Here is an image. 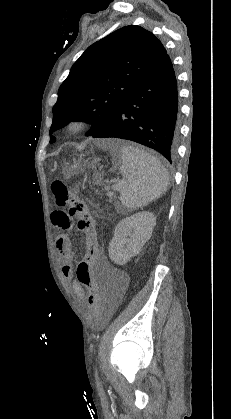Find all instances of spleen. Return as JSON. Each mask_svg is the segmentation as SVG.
Segmentation results:
<instances>
[{
	"label": "spleen",
	"instance_id": "1",
	"mask_svg": "<svg viewBox=\"0 0 231 419\" xmlns=\"http://www.w3.org/2000/svg\"><path fill=\"white\" fill-rule=\"evenodd\" d=\"M120 153V172L125 177L120 183V200L125 208H142L167 191L169 176L156 157L134 146H123Z\"/></svg>",
	"mask_w": 231,
	"mask_h": 419
}]
</instances>
